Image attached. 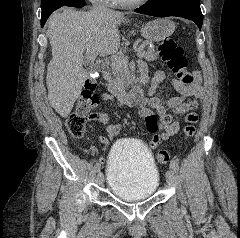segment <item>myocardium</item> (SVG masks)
I'll use <instances>...</instances> for the list:
<instances>
[{
	"instance_id": "f54148a6",
	"label": "myocardium",
	"mask_w": 240,
	"mask_h": 238,
	"mask_svg": "<svg viewBox=\"0 0 240 238\" xmlns=\"http://www.w3.org/2000/svg\"><path fill=\"white\" fill-rule=\"evenodd\" d=\"M149 0L123 1L115 0L116 4L122 7H137L147 3Z\"/></svg>"
}]
</instances>
